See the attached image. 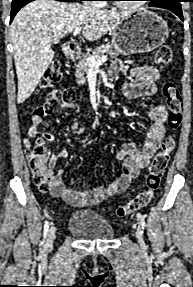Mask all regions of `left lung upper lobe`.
<instances>
[{"label":"left lung upper lobe","instance_id":"5c2ea615","mask_svg":"<svg viewBox=\"0 0 193 287\" xmlns=\"http://www.w3.org/2000/svg\"><path fill=\"white\" fill-rule=\"evenodd\" d=\"M147 1H150L149 6H152L168 0H147Z\"/></svg>","mask_w":193,"mask_h":287}]
</instances>
